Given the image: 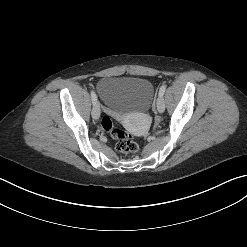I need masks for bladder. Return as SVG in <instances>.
<instances>
[{
	"label": "bladder",
	"instance_id": "31cf9c89",
	"mask_svg": "<svg viewBox=\"0 0 247 247\" xmlns=\"http://www.w3.org/2000/svg\"><path fill=\"white\" fill-rule=\"evenodd\" d=\"M97 94L115 114L144 113L151 105L154 88L150 81L136 77H104L96 87Z\"/></svg>",
	"mask_w": 247,
	"mask_h": 247
}]
</instances>
